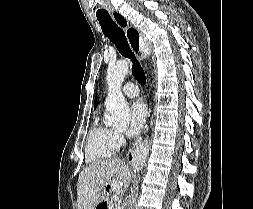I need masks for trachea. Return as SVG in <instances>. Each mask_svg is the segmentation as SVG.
Here are the masks:
<instances>
[{
	"instance_id": "3493384b",
	"label": "trachea",
	"mask_w": 253,
	"mask_h": 209,
	"mask_svg": "<svg viewBox=\"0 0 253 209\" xmlns=\"http://www.w3.org/2000/svg\"><path fill=\"white\" fill-rule=\"evenodd\" d=\"M97 19L105 36L115 44L122 56L132 61L133 75L141 85H144L146 83L144 70L131 51L124 31L113 21L109 14L98 16Z\"/></svg>"
}]
</instances>
